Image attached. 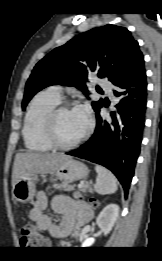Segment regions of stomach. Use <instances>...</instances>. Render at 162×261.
Wrapping results in <instances>:
<instances>
[{"label":"stomach","mask_w":162,"mask_h":261,"mask_svg":"<svg viewBox=\"0 0 162 261\" xmlns=\"http://www.w3.org/2000/svg\"><path fill=\"white\" fill-rule=\"evenodd\" d=\"M89 170L85 164L74 160L72 157L64 160L51 174L65 182H71L86 178ZM38 176L33 175L19 180L12 190L13 197L16 201L27 203L32 200L36 194V182Z\"/></svg>","instance_id":"0dacf381"}]
</instances>
